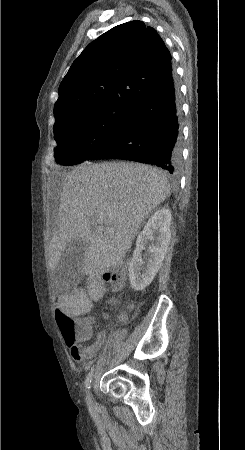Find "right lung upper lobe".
<instances>
[{"label":"right lung upper lobe","instance_id":"obj_1","mask_svg":"<svg viewBox=\"0 0 245 450\" xmlns=\"http://www.w3.org/2000/svg\"><path fill=\"white\" fill-rule=\"evenodd\" d=\"M173 73L171 55L142 21L113 27L90 43L59 86L54 114L103 105L132 107Z\"/></svg>","mask_w":245,"mask_h":450}]
</instances>
